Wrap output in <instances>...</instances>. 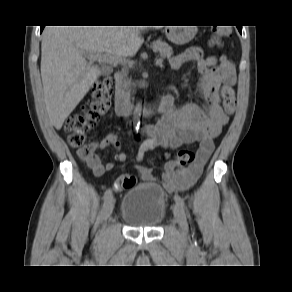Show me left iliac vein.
<instances>
[{
    "label": "left iliac vein",
    "instance_id": "obj_1",
    "mask_svg": "<svg viewBox=\"0 0 292 292\" xmlns=\"http://www.w3.org/2000/svg\"><path fill=\"white\" fill-rule=\"evenodd\" d=\"M173 214H174L175 221L177 222L182 235L184 237H186L188 234V224H187L186 215H185L183 209L179 205L174 204L173 205Z\"/></svg>",
    "mask_w": 292,
    "mask_h": 292
}]
</instances>
